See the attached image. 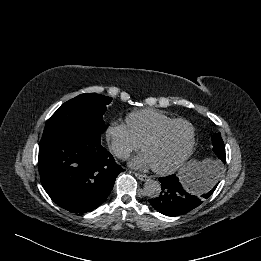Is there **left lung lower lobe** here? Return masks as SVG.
I'll return each instance as SVG.
<instances>
[{
    "instance_id": "obj_1",
    "label": "left lung lower lobe",
    "mask_w": 261,
    "mask_h": 261,
    "mask_svg": "<svg viewBox=\"0 0 261 261\" xmlns=\"http://www.w3.org/2000/svg\"><path fill=\"white\" fill-rule=\"evenodd\" d=\"M221 166L218 162H212L202 167L189 188L181 185L180 175L172 174L159 178L162 192L159 197L149 200L150 204L166 216L183 215L193 210L215 191Z\"/></svg>"
}]
</instances>
